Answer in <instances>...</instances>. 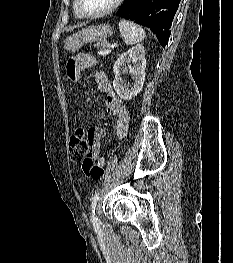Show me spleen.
<instances>
[{
	"label": "spleen",
	"instance_id": "3e777b00",
	"mask_svg": "<svg viewBox=\"0 0 233 263\" xmlns=\"http://www.w3.org/2000/svg\"><path fill=\"white\" fill-rule=\"evenodd\" d=\"M119 30L126 45L139 43L143 41L146 36L145 31L140 26L127 20H121L119 22Z\"/></svg>",
	"mask_w": 233,
	"mask_h": 263
}]
</instances>
